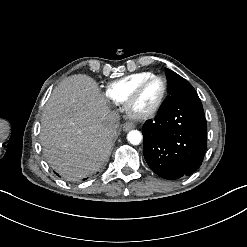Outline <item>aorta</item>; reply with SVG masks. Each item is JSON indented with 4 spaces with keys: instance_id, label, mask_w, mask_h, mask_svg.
<instances>
[{
    "instance_id": "1",
    "label": "aorta",
    "mask_w": 247,
    "mask_h": 247,
    "mask_svg": "<svg viewBox=\"0 0 247 247\" xmlns=\"http://www.w3.org/2000/svg\"><path fill=\"white\" fill-rule=\"evenodd\" d=\"M128 141L133 145H138L142 140V135L137 130H132L127 135Z\"/></svg>"
}]
</instances>
